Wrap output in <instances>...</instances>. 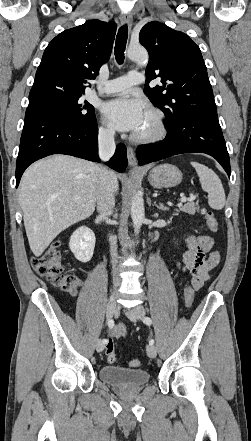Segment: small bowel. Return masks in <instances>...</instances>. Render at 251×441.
<instances>
[{"instance_id": "small-bowel-1", "label": "small bowel", "mask_w": 251, "mask_h": 441, "mask_svg": "<svg viewBox=\"0 0 251 441\" xmlns=\"http://www.w3.org/2000/svg\"><path fill=\"white\" fill-rule=\"evenodd\" d=\"M186 250L184 251L178 267L182 271H189L192 275V287L201 288L209 279L210 272L218 265L220 255L213 251V239L206 235H188L185 239ZM79 283L69 289L71 295H76ZM127 334L125 325H116L112 328L111 336L121 337Z\"/></svg>"}]
</instances>
